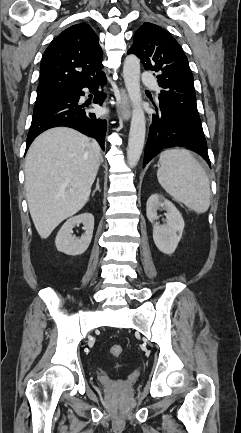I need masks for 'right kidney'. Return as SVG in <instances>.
Wrapping results in <instances>:
<instances>
[{
  "label": "right kidney",
  "mask_w": 241,
  "mask_h": 433,
  "mask_svg": "<svg viewBox=\"0 0 241 433\" xmlns=\"http://www.w3.org/2000/svg\"><path fill=\"white\" fill-rule=\"evenodd\" d=\"M83 224L85 230L84 235L79 239L72 236L73 228L77 224ZM94 229V216L91 213H83L68 219L59 230L55 245L59 252L67 255H80L83 254L89 247Z\"/></svg>",
  "instance_id": "right-kidney-1"
}]
</instances>
